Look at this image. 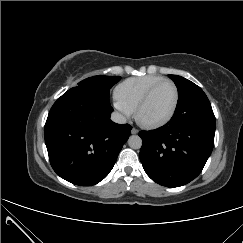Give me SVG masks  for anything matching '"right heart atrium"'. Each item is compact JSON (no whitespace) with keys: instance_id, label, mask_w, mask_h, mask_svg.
Masks as SVG:
<instances>
[{"instance_id":"d8ad5b80","label":"right heart atrium","mask_w":243,"mask_h":243,"mask_svg":"<svg viewBox=\"0 0 243 243\" xmlns=\"http://www.w3.org/2000/svg\"><path fill=\"white\" fill-rule=\"evenodd\" d=\"M114 106L122 117L128 118L131 115V112L117 100H115Z\"/></svg>"}]
</instances>
